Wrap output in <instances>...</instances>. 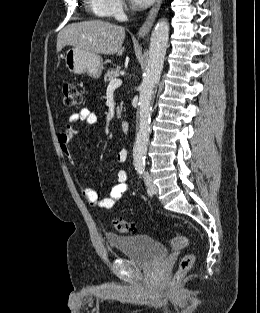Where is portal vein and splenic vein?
<instances>
[{"mask_svg":"<svg viewBox=\"0 0 260 313\" xmlns=\"http://www.w3.org/2000/svg\"><path fill=\"white\" fill-rule=\"evenodd\" d=\"M121 84H122V80L115 78V79H112L110 81L108 88L115 89V88H118L119 86H121Z\"/></svg>","mask_w":260,"mask_h":313,"instance_id":"obj_1","label":"portal vein and splenic vein"}]
</instances>
